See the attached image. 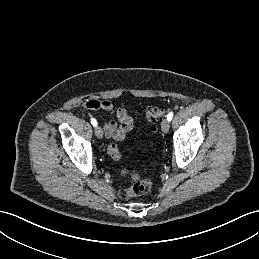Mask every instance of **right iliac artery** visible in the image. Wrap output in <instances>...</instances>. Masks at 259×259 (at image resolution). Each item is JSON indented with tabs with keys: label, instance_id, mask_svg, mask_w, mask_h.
Wrapping results in <instances>:
<instances>
[{
	"label": "right iliac artery",
	"instance_id": "obj_1",
	"mask_svg": "<svg viewBox=\"0 0 259 259\" xmlns=\"http://www.w3.org/2000/svg\"><path fill=\"white\" fill-rule=\"evenodd\" d=\"M91 124H92L93 126H97V121H96L94 118H92V119H91Z\"/></svg>",
	"mask_w": 259,
	"mask_h": 259
}]
</instances>
